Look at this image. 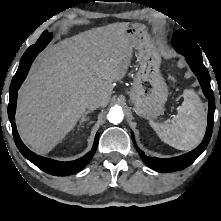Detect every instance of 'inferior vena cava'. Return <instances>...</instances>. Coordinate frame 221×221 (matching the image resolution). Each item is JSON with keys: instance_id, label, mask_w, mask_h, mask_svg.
Returning <instances> with one entry per match:
<instances>
[{"instance_id": "obj_1", "label": "inferior vena cava", "mask_w": 221, "mask_h": 221, "mask_svg": "<svg viewBox=\"0 0 221 221\" xmlns=\"http://www.w3.org/2000/svg\"><path fill=\"white\" fill-rule=\"evenodd\" d=\"M101 106V101L99 98L93 97L86 102V108L90 110H95Z\"/></svg>"}]
</instances>
